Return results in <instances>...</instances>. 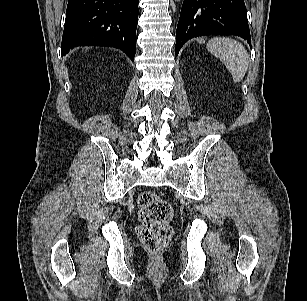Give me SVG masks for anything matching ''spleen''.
Segmentation results:
<instances>
[{
	"mask_svg": "<svg viewBox=\"0 0 307 301\" xmlns=\"http://www.w3.org/2000/svg\"><path fill=\"white\" fill-rule=\"evenodd\" d=\"M207 49L224 63L235 82H240L244 78L249 57L240 42L227 37H214L207 43Z\"/></svg>",
	"mask_w": 307,
	"mask_h": 301,
	"instance_id": "3e777b00",
	"label": "spleen"
}]
</instances>
